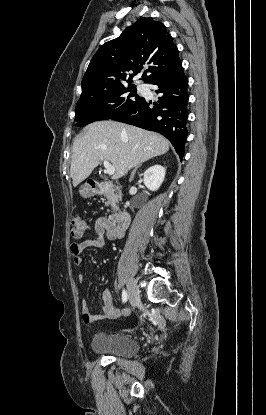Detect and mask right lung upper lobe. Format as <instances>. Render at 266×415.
Masks as SVG:
<instances>
[{"mask_svg":"<svg viewBox=\"0 0 266 415\" xmlns=\"http://www.w3.org/2000/svg\"><path fill=\"white\" fill-rule=\"evenodd\" d=\"M143 64L150 65L142 75L145 83H151L181 65L172 36L163 23L152 18L139 19L118 38L99 48L82 79L80 99L126 84L134 85L132 78Z\"/></svg>","mask_w":266,"mask_h":415,"instance_id":"obj_1","label":"right lung upper lobe"}]
</instances>
